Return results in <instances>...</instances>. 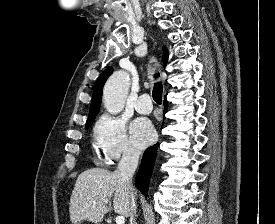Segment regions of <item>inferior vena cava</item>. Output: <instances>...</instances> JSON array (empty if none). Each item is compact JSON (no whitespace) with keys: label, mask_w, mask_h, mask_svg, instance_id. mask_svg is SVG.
<instances>
[{"label":"inferior vena cava","mask_w":275,"mask_h":224,"mask_svg":"<svg viewBox=\"0 0 275 224\" xmlns=\"http://www.w3.org/2000/svg\"><path fill=\"white\" fill-rule=\"evenodd\" d=\"M140 156V151L133 149L131 147L126 148L123 151L122 158L118 164V170L122 182L125 184L129 192V218L130 224H136V201H135V191L132 185V177L138 165Z\"/></svg>","instance_id":"obj_1"}]
</instances>
